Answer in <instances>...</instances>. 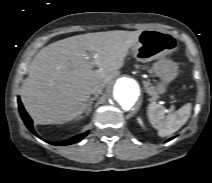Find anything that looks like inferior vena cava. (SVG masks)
I'll use <instances>...</instances> for the list:
<instances>
[{"label":"inferior vena cava","mask_w":212,"mask_h":183,"mask_svg":"<svg viewBox=\"0 0 212 183\" xmlns=\"http://www.w3.org/2000/svg\"><path fill=\"white\" fill-rule=\"evenodd\" d=\"M104 87L105 86L103 84H97L93 87L91 93L94 95H99L102 93Z\"/></svg>","instance_id":"obj_1"}]
</instances>
